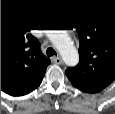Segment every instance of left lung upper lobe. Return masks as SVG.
Masks as SVG:
<instances>
[{"label": "left lung upper lobe", "mask_w": 115, "mask_h": 114, "mask_svg": "<svg viewBox=\"0 0 115 114\" xmlns=\"http://www.w3.org/2000/svg\"><path fill=\"white\" fill-rule=\"evenodd\" d=\"M74 28L78 31L79 64L65 73L72 83L105 88L115 79V18L92 16Z\"/></svg>", "instance_id": "1"}]
</instances>
